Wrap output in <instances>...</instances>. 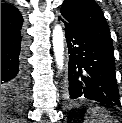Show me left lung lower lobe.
<instances>
[{
	"instance_id": "1",
	"label": "left lung lower lobe",
	"mask_w": 122,
	"mask_h": 123,
	"mask_svg": "<svg viewBox=\"0 0 122 123\" xmlns=\"http://www.w3.org/2000/svg\"><path fill=\"white\" fill-rule=\"evenodd\" d=\"M69 51L66 97L69 101L87 99L108 106L119 105L113 46L64 18Z\"/></svg>"
}]
</instances>
